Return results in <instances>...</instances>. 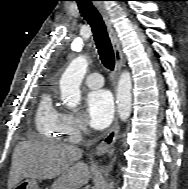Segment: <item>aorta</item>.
Here are the masks:
<instances>
[{
  "instance_id": "762f6f07",
  "label": "aorta",
  "mask_w": 188,
  "mask_h": 189,
  "mask_svg": "<svg viewBox=\"0 0 188 189\" xmlns=\"http://www.w3.org/2000/svg\"><path fill=\"white\" fill-rule=\"evenodd\" d=\"M87 58L79 56L67 67L60 79L61 99L69 108H75L80 103V85L87 71ZM132 80L128 71H124L119 78L117 86V110L122 121H126L131 113L132 106ZM113 183L110 184L112 189Z\"/></svg>"
}]
</instances>
